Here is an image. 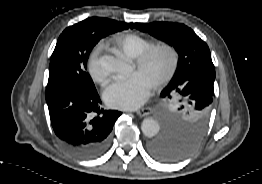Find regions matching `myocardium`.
Segmentation results:
<instances>
[{
	"label": "myocardium",
	"mask_w": 262,
	"mask_h": 184,
	"mask_svg": "<svg viewBox=\"0 0 262 184\" xmlns=\"http://www.w3.org/2000/svg\"><path fill=\"white\" fill-rule=\"evenodd\" d=\"M159 50H165L170 54L171 63L168 70L152 84L154 88H160L172 80V78L175 76V74L178 71L180 65V58H181L180 51L175 45L169 42H158L151 45L146 50H144L136 58L135 61L136 67L138 69H142L149 61V59L152 57V55Z\"/></svg>",
	"instance_id": "myocardium-1"
}]
</instances>
